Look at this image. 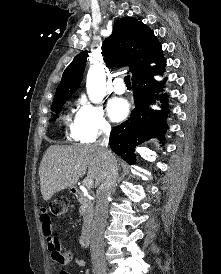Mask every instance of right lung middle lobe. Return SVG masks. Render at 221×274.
Returning a JSON list of instances; mask_svg holds the SVG:
<instances>
[{
  "label": "right lung middle lobe",
  "instance_id": "1",
  "mask_svg": "<svg viewBox=\"0 0 221 274\" xmlns=\"http://www.w3.org/2000/svg\"><path fill=\"white\" fill-rule=\"evenodd\" d=\"M71 96L72 95H63V96L54 98L52 106H51V110L55 113L53 116L54 120H56V118H57L56 114L60 113L66 100H68Z\"/></svg>",
  "mask_w": 221,
  "mask_h": 274
}]
</instances>
